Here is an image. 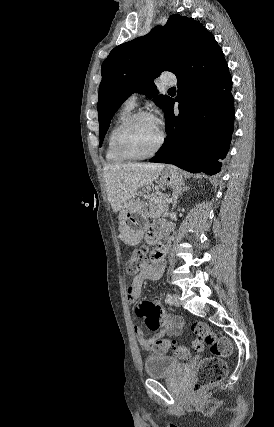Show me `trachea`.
Returning a JSON list of instances; mask_svg holds the SVG:
<instances>
[{
    "instance_id": "trachea-1",
    "label": "trachea",
    "mask_w": 274,
    "mask_h": 427,
    "mask_svg": "<svg viewBox=\"0 0 274 427\" xmlns=\"http://www.w3.org/2000/svg\"><path fill=\"white\" fill-rule=\"evenodd\" d=\"M169 90H176V88L175 87H171V89H169Z\"/></svg>"
}]
</instances>
